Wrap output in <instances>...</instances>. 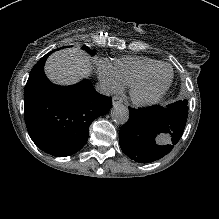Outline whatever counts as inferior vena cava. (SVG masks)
Masks as SVG:
<instances>
[{
  "label": "inferior vena cava",
  "mask_w": 219,
  "mask_h": 219,
  "mask_svg": "<svg viewBox=\"0 0 219 219\" xmlns=\"http://www.w3.org/2000/svg\"><path fill=\"white\" fill-rule=\"evenodd\" d=\"M95 89L98 93L102 94V95H105V96H112L114 95V90L113 88L108 85L107 83L105 82H98L96 85H95Z\"/></svg>",
  "instance_id": "1"
}]
</instances>
